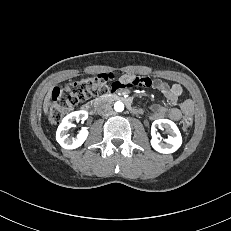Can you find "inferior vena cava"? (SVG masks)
Segmentation results:
<instances>
[{"label":"inferior vena cava","mask_w":231,"mask_h":231,"mask_svg":"<svg viewBox=\"0 0 231 231\" xmlns=\"http://www.w3.org/2000/svg\"><path fill=\"white\" fill-rule=\"evenodd\" d=\"M111 110H112V107H111V105L109 103H100L97 106V112L100 115H106L109 112H111Z\"/></svg>","instance_id":"obj_1"}]
</instances>
